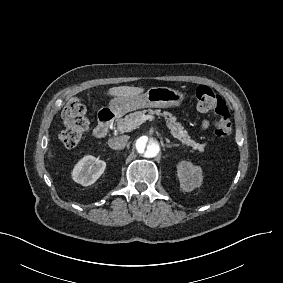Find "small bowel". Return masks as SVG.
I'll return each instance as SVG.
<instances>
[{
  "label": "small bowel",
  "instance_id": "small-bowel-1",
  "mask_svg": "<svg viewBox=\"0 0 283 283\" xmlns=\"http://www.w3.org/2000/svg\"><path fill=\"white\" fill-rule=\"evenodd\" d=\"M208 126H209V121H208V120H204V121L202 122V124H201V128H202L203 130L207 129Z\"/></svg>",
  "mask_w": 283,
  "mask_h": 283
}]
</instances>
